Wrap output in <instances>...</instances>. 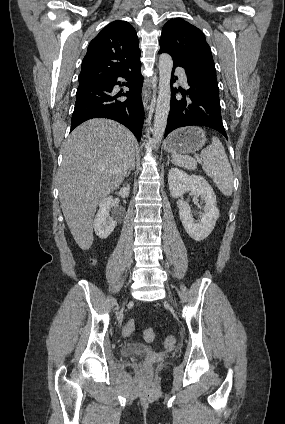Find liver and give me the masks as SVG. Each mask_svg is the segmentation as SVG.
<instances>
[{"instance_id": "6515ba94", "label": "liver", "mask_w": 285, "mask_h": 424, "mask_svg": "<svg viewBox=\"0 0 285 424\" xmlns=\"http://www.w3.org/2000/svg\"><path fill=\"white\" fill-rule=\"evenodd\" d=\"M134 135L110 119H91L62 145L59 199L71 234L82 250L93 243L99 203L123 182L134 159Z\"/></svg>"}]
</instances>
